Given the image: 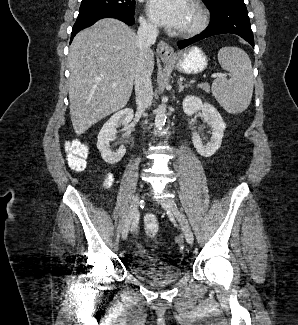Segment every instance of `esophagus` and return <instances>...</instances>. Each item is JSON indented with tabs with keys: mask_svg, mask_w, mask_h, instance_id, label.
<instances>
[{
	"mask_svg": "<svg viewBox=\"0 0 298 325\" xmlns=\"http://www.w3.org/2000/svg\"><path fill=\"white\" fill-rule=\"evenodd\" d=\"M157 53L161 58L166 60L172 59L174 57V49L168 43L160 41L157 45Z\"/></svg>",
	"mask_w": 298,
	"mask_h": 325,
	"instance_id": "1",
	"label": "esophagus"
}]
</instances>
